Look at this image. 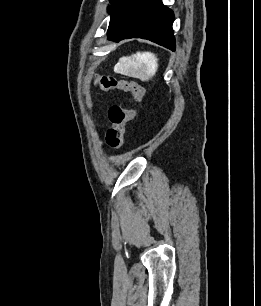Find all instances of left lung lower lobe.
<instances>
[{
    "instance_id": "0a47b994",
    "label": "left lung lower lobe",
    "mask_w": 261,
    "mask_h": 306,
    "mask_svg": "<svg viewBox=\"0 0 261 306\" xmlns=\"http://www.w3.org/2000/svg\"><path fill=\"white\" fill-rule=\"evenodd\" d=\"M173 12L161 0H132L124 9L109 40L144 38L175 51Z\"/></svg>"
}]
</instances>
